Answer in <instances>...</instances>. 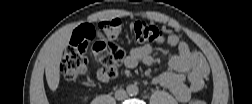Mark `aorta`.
Segmentation results:
<instances>
[{
    "label": "aorta",
    "instance_id": "1",
    "mask_svg": "<svg viewBox=\"0 0 252 104\" xmlns=\"http://www.w3.org/2000/svg\"><path fill=\"white\" fill-rule=\"evenodd\" d=\"M127 94L130 96H136L139 92V88L135 84H130L126 87Z\"/></svg>",
    "mask_w": 252,
    "mask_h": 104
}]
</instances>
